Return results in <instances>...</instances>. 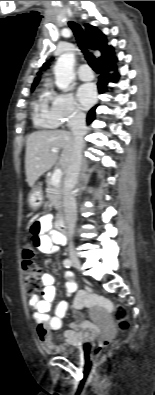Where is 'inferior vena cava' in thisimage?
<instances>
[{"label": "inferior vena cava", "mask_w": 155, "mask_h": 395, "mask_svg": "<svg viewBox=\"0 0 155 395\" xmlns=\"http://www.w3.org/2000/svg\"><path fill=\"white\" fill-rule=\"evenodd\" d=\"M70 127L74 138V145L69 164L65 170L63 205L68 236L71 239L77 219L74 188L78 182L82 164V149L84 144L83 137L86 134L87 129L85 114L82 112L74 114L70 121ZM69 251L70 255L73 254L72 243L69 244Z\"/></svg>", "instance_id": "1"}]
</instances>
